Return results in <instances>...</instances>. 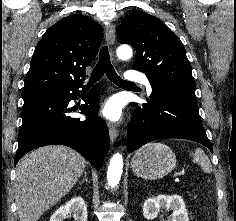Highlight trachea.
<instances>
[{
	"label": "trachea",
	"mask_w": 236,
	"mask_h": 221,
	"mask_svg": "<svg viewBox=\"0 0 236 221\" xmlns=\"http://www.w3.org/2000/svg\"><path fill=\"white\" fill-rule=\"evenodd\" d=\"M106 74L108 79L115 83L116 85L123 86V85H132L133 83L130 81H126L121 79L114 67L112 66L110 62V56L107 46H103L99 53V61L96 64L95 68L93 69L91 73L90 80L88 82V85L91 86L94 83H96L98 80H100L103 75Z\"/></svg>",
	"instance_id": "3493384b"
}]
</instances>
